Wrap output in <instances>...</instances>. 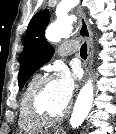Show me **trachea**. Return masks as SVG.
<instances>
[{"instance_id": "trachea-1", "label": "trachea", "mask_w": 116, "mask_h": 134, "mask_svg": "<svg viewBox=\"0 0 116 134\" xmlns=\"http://www.w3.org/2000/svg\"><path fill=\"white\" fill-rule=\"evenodd\" d=\"M80 55H81L82 58H85L86 59V57H87V45H86V43H84L81 46Z\"/></svg>"}]
</instances>
